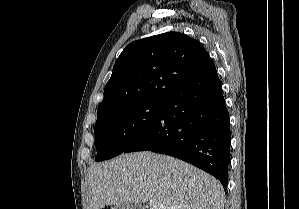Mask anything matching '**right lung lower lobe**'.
<instances>
[{
	"mask_svg": "<svg viewBox=\"0 0 299 209\" xmlns=\"http://www.w3.org/2000/svg\"><path fill=\"white\" fill-rule=\"evenodd\" d=\"M230 143V119L214 69L184 81L124 153L149 150L182 159L215 176L226 191Z\"/></svg>",
	"mask_w": 299,
	"mask_h": 209,
	"instance_id": "98d812e1",
	"label": "right lung lower lobe"
}]
</instances>
